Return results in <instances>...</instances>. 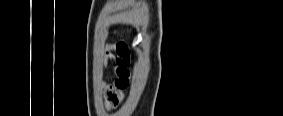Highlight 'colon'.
Listing matches in <instances>:
<instances>
[{
  "instance_id": "5ec220e1",
  "label": "colon",
  "mask_w": 283,
  "mask_h": 116,
  "mask_svg": "<svg viewBox=\"0 0 283 116\" xmlns=\"http://www.w3.org/2000/svg\"><path fill=\"white\" fill-rule=\"evenodd\" d=\"M129 84V75L118 77L113 85H111L106 94V107L108 109L115 108L123 100V90Z\"/></svg>"
}]
</instances>
